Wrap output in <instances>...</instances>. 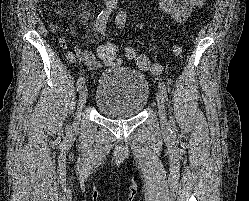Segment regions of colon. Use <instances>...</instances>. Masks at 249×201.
<instances>
[{
    "label": "colon",
    "instance_id": "colon-1",
    "mask_svg": "<svg viewBox=\"0 0 249 201\" xmlns=\"http://www.w3.org/2000/svg\"><path fill=\"white\" fill-rule=\"evenodd\" d=\"M182 52L183 49L180 44H175L171 48V54L174 56H180ZM98 55L107 65H113L119 61L117 49L112 44L102 45L98 49ZM127 57L134 60L139 69L151 71L154 74H158L160 72L159 66L153 64L146 55L137 54L133 50H128Z\"/></svg>",
    "mask_w": 249,
    "mask_h": 201
}]
</instances>
